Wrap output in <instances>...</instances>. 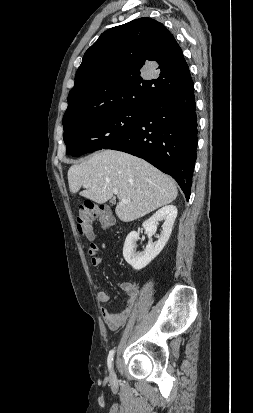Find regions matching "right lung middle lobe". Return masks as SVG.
<instances>
[{
    "mask_svg": "<svg viewBox=\"0 0 253 413\" xmlns=\"http://www.w3.org/2000/svg\"><path fill=\"white\" fill-rule=\"evenodd\" d=\"M141 115V109L117 108L64 124L66 153L80 156L115 144L138 125Z\"/></svg>",
    "mask_w": 253,
    "mask_h": 413,
    "instance_id": "dd1d6c3e",
    "label": "right lung middle lobe"
}]
</instances>
